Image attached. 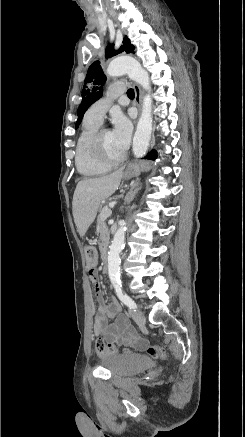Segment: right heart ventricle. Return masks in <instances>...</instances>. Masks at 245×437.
<instances>
[{"label": "right heart ventricle", "mask_w": 245, "mask_h": 437, "mask_svg": "<svg viewBox=\"0 0 245 437\" xmlns=\"http://www.w3.org/2000/svg\"><path fill=\"white\" fill-rule=\"evenodd\" d=\"M100 123L84 118L75 146V165L77 171L86 177L101 176L109 172L112 165L97 160L91 152L90 140Z\"/></svg>", "instance_id": "1"}]
</instances>
